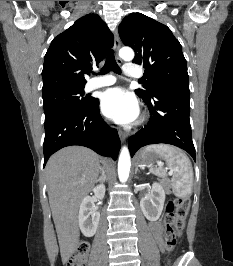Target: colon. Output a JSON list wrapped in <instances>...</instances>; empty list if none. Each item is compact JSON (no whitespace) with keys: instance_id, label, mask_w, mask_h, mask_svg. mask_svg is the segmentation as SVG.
<instances>
[{"instance_id":"1","label":"colon","mask_w":233,"mask_h":266,"mask_svg":"<svg viewBox=\"0 0 233 266\" xmlns=\"http://www.w3.org/2000/svg\"><path fill=\"white\" fill-rule=\"evenodd\" d=\"M190 200L187 197L175 198L168 202L164 216L165 246L168 251H172L182 235L186 218L189 213ZM89 252V243L86 240L79 242L75 252L66 261V266H86Z\"/></svg>"}]
</instances>
